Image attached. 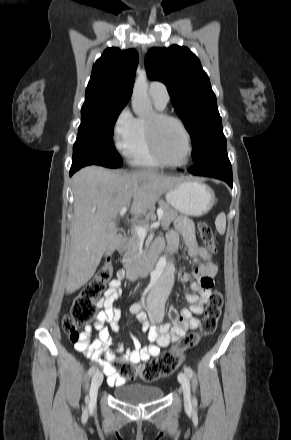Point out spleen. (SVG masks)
Listing matches in <instances>:
<instances>
[{
	"label": "spleen",
	"instance_id": "1",
	"mask_svg": "<svg viewBox=\"0 0 291 440\" xmlns=\"http://www.w3.org/2000/svg\"><path fill=\"white\" fill-rule=\"evenodd\" d=\"M216 229L219 234L223 235L226 230V215L225 213H220L215 220Z\"/></svg>",
	"mask_w": 291,
	"mask_h": 440
}]
</instances>
